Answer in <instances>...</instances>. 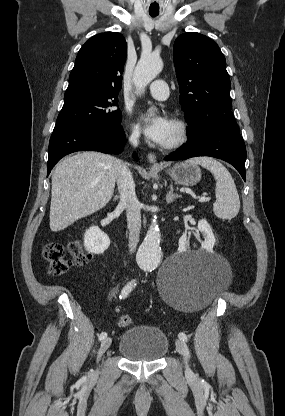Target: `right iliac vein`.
Wrapping results in <instances>:
<instances>
[{"instance_id": "1", "label": "right iliac vein", "mask_w": 285, "mask_h": 416, "mask_svg": "<svg viewBox=\"0 0 285 416\" xmlns=\"http://www.w3.org/2000/svg\"><path fill=\"white\" fill-rule=\"evenodd\" d=\"M111 343H112V339L110 337H106L102 341V343H101V345L99 347L97 359H99L100 356L110 347Z\"/></svg>"}]
</instances>
